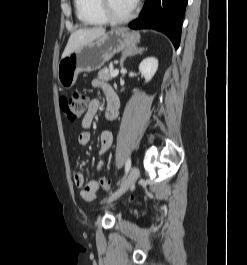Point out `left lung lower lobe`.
I'll list each match as a JSON object with an SVG mask.
<instances>
[{
    "mask_svg": "<svg viewBox=\"0 0 247 265\" xmlns=\"http://www.w3.org/2000/svg\"><path fill=\"white\" fill-rule=\"evenodd\" d=\"M188 0H146L141 15L129 26L133 29H155L166 34L177 49Z\"/></svg>",
    "mask_w": 247,
    "mask_h": 265,
    "instance_id": "1",
    "label": "left lung lower lobe"
}]
</instances>
